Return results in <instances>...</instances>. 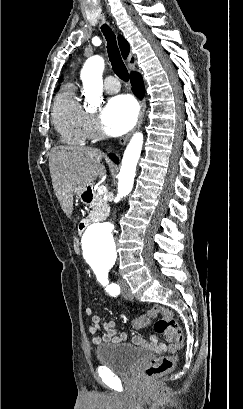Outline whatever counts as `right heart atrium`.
I'll return each mask as SVG.
<instances>
[{"mask_svg": "<svg viewBox=\"0 0 243 409\" xmlns=\"http://www.w3.org/2000/svg\"><path fill=\"white\" fill-rule=\"evenodd\" d=\"M84 125L86 138L88 140L95 141L101 138L99 125L93 114L85 113Z\"/></svg>", "mask_w": 243, "mask_h": 409, "instance_id": "right-heart-atrium-1", "label": "right heart atrium"}]
</instances>
